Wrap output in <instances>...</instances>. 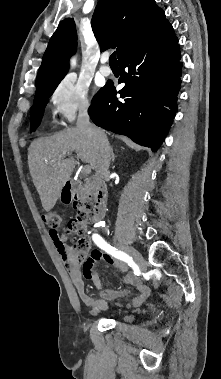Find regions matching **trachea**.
<instances>
[{
    "mask_svg": "<svg viewBox=\"0 0 221 379\" xmlns=\"http://www.w3.org/2000/svg\"><path fill=\"white\" fill-rule=\"evenodd\" d=\"M109 64L110 65H117V60H116V53H113L110 58H109Z\"/></svg>",
    "mask_w": 221,
    "mask_h": 379,
    "instance_id": "trachea-1",
    "label": "trachea"
}]
</instances>
